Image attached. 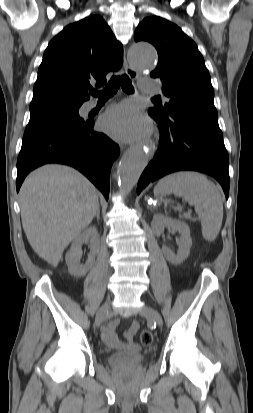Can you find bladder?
<instances>
[{
	"instance_id": "obj_1",
	"label": "bladder",
	"mask_w": 253,
	"mask_h": 413,
	"mask_svg": "<svg viewBox=\"0 0 253 413\" xmlns=\"http://www.w3.org/2000/svg\"><path fill=\"white\" fill-rule=\"evenodd\" d=\"M145 360L139 348H130L125 351L115 352L108 356V362L113 367H135Z\"/></svg>"
}]
</instances>
